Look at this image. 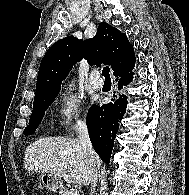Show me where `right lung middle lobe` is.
<instances>
[{
    "instance_id": "obj_1",
    "label": "right lung middle lobe",
    "mask_w": 189,
    "mask_h": 195,
    "mask_svg": "<svg viewBox=\"0 0 189 195\" xmlns=\"http://www.w3.org/2000/svg\"><path fill=\"white\" fill-rule=\"evenodd\" d=\"M58 94H55L49 98H46L42 101L33 103V111L29 119V125L25 128L24 134L31 135L35 132L38 125L42 121L45 111L53 103L55 97Z\"/></svg>"
}]
</instances>
